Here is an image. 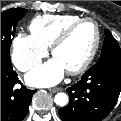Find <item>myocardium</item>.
<instances>
[{"instance_id":"myocardium-1","label":"myocardium","mask_w":121,"mask_h":121,"mask_svg":"<svg viewBox=\"0 0 121 121\" xmlns=\"http://www.w3.org/2000/svg\"><path fill=\"white\" fill-rule=\"evenodd\" d=\"M83 23H91L94 26L95 41H94V44H93L91 50L89 51L88 55L84 59V61L76 68L67 71V73L70 75H78V74L84 72L90 66L93 59L95 58V56L99 50L100 43H101V30H100L98 22L96 20H94L93 18H88V17L80 18L79 20L68 25L59 34V36L55 39V41L51 45V53L54 56L56 50L61 45H63L68 40V38L71 36V34L74 32V30Z\"/></svg>"}]
</instances>
